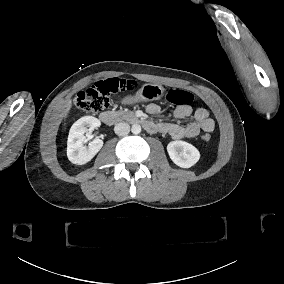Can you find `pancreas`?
Here are the masks:
<instances>
[{
  "label": "pancreas",
  "mask_w": 284,
  "mask_h": 284,
  "mask_svg": "<svg viewBox=\"0 0 284 284\" xmlns=\"http://www.w3.org/2000/svg\"><path fill=\"white\" fill-rule=\"evenodd\" d=\"M113 114H115L118 121H123V120L132 121L136 118L134 113L129 110L128 111L118 110L113 112Z\"/></svg>",
  "instance_id": "pancreas-1"
}]
</instances>
